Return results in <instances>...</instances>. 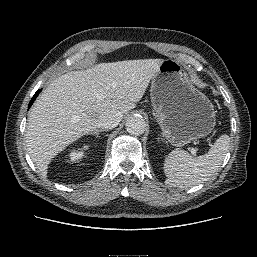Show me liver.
I'll use <instances>...</instances> for the list:
<instances>
[{"mask_svg":"<svg viewBox=\"0 0 257 257\" xmlns=\"http://www.w3.org/2000/svg\"><path fill=\"white\" fill-rule=\"evenodd\" d=\"M162 59L100 63L55 79L42 92L28 116L26 144L42 176L60 151L97 127L100 116L135 108Z\"/></svg>","mask_w":257,"mask_h":257,"instance_id":"6515ba94","label":"liver"}]
</instances>
